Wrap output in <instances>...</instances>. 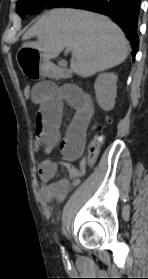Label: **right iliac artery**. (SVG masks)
I'll return each instance as SVG.
<instances>
[{"label": "right iliac artery", "instance_id": "1", "mask_svg": "<svg viewBox=\"0 0 148 279\" xmlns=\"http://www.w3.org/2000/svg\"><path fill=\"white\" fill-rule=\"evenodd\" d=\"M61 250H62V254L65 255L64 247H61Z\"/></svg>", "mask_w": 148, "mask_h": 279}]
</instances>
